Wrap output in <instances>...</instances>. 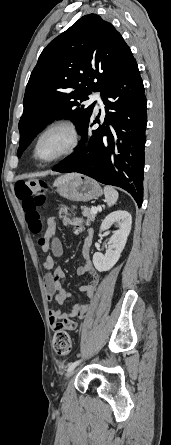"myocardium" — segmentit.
<instances>
[{"mask_svg": "<svg viewBox=\"0 0 171 445\" xmlns=\"http://www.w3.org/2000/svg\"><path fill=\"white\" fill-rule=\"evenodd\" d=\"M57 130L64 131L68 134L69 139H68L67 145L60 153H58L57 155H55L51 158H48V159L40 158L37 153L40 141L42 140V138L44 136H46L50 132L57 131ZM80 140H81V134H80V131L75 123H73L70 120L53 121V122L49 123L45 128H43L41 130V132L38 134V136L36 137V140H35L34 146H33V156L37 161L44 163V164H50V163L57 162L65 157L71 155L72 153H74L80 144Z\"/></svg>", "mask_w": 171, "mask_h": 445, "instance_id": "myocardium-1", "label": "myocardium"}]
</instances>
